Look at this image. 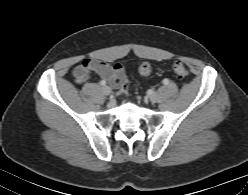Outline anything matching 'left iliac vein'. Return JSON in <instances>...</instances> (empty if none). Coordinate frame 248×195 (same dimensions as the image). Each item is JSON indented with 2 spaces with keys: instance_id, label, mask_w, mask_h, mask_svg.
Instances as JSON below:
<instances>
[{
  "instance_id": "1",
  "label": "left iliac vein",
  "mask_w": 248,
  "mask_h": 195,
  "mask_svg": "<svg viewBox=\"0 0 248 195\" xmlns=\"http://www.w3.org/2000/svg\"><path fill=\"white\" fill-rule=\"evenodd\" d=\"M149 99L151 102L155 103L157 102L158 100V94L156 92H152L150 95H149Z\"/></svg>"
}]
</instances>
